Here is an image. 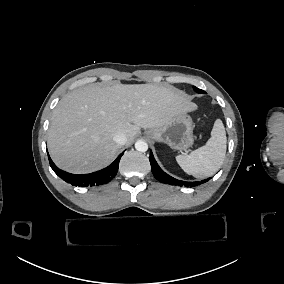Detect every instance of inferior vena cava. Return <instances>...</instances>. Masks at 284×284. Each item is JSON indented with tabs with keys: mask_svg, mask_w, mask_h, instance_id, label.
Wrapping results in <instances>:
<instances>
[{
	"mask_svg": "<svg viewBox=\"0 0 284 284\" xmlns=\"http://www.w3.org/2000/svg\"><path fill=\"white\" fill-rule=\"evenodd\" d=\"M113 140L120 145H124L126 143V135L122 132L117 133L114 137Z\"/></svg>",
	"mask_w": 284,
	"mask_h": 284,
	"instance_id": "602c4592",
	"label": "inferior vena cava"
}]
</instances>
